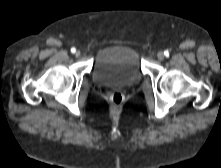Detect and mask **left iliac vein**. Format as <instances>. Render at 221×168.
Here are the masks:
<instances>
[{"label":"left iliac vein","mask_w":221,"mask_h":168,"mask_svg":"<svg viewBox=\"0 0 221 168\" xmlns=\"http://www.w3.org/2000/svg\"><path fill=\"white\" fill-rule=\"evenodd\" d=\"M164 57H165V55H164V53H163L162 51L158 52L157 58H158L159 60L162 61V60L164 59Z\"/></svg>","instance_id":"obj_1"}]
</instances>
